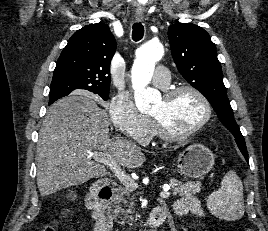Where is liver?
Instances as JSON below:
<instances>
[{"label":"liver","instance_id":"1","mask_svg":"<svg viewBox=\"0 0 268 231\" xmlns=\"http://www.w3.org/2000/svg\"><path fill=\"white\" fill-rule=\"evenodd\" d=\"M110 118L86 93L63 98L47 111L37 142V185L41 196L107 174L96 161L109 154L124 168H138L145 155L132 141L109 137Z\"/></svg>","mask_w":268,"mask_h":231}]
</instances>
